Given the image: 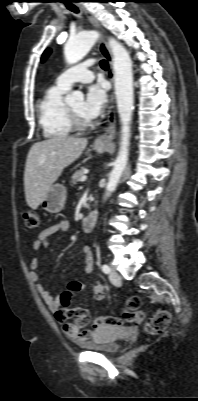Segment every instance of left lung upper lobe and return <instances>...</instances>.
Wrapping results in <instances>:
<instances>
[{"label":"left lung upper lobe","mask_w":198,"mask_h":401,"mask_svg":"<svg viewBox=\"0 0 198 401\" xmlns=\"http://www.w3.org/2000/svg\"><path fill=\"white\" fill-rule=\"evenodd\" d=\"M51 53L50 49H46L45 52L42 55V61H45V59L48 57V55Z\"/></svg>","instance_id":"left-lung-upper-lobe-1"}]
</instances>
